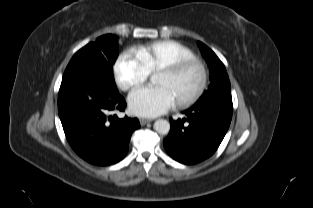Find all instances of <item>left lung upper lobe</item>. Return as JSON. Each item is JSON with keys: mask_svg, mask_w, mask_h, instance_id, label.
Segmentation results:
<instances>
[{"mask_svg": "<svg viewBox=\"0 0 313 208\" xmlns=\"http://www.w3.org/2000/svg\"><path fill=\"white\" fill-rule=\"evenodd\" d=\"M201 53L209 66L211 84L208 90L200 97L197 103L210 99H230L231 85L224 64L216 54L206 45L198 42Z\"/></svg>", "mask_w": 313, "mask_h": 208, "instance_id": "1", "label": "left lung upper lobe"}]
</instances>
